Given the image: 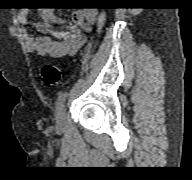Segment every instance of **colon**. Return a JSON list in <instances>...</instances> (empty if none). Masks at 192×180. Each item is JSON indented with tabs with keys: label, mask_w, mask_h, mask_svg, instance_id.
Instances as JSON below:
<instances>
[{
	"label": "colon",
	"mask_w": 192,
	"mask_h": 180,
	"mask_svg": "<svg viewBox=\"0 0 192 180\" xmlns=\"http://www.w3.org/2000/svg\"><path fill=\"white\" fill-rule=\"evenodd\" d=\"M43 82L46 86H53L60 82L62 71L61 68L54 64H46L41 70Z\"/></svg>",
	"instance_id": "5ec220e1"
}]
</instances>
